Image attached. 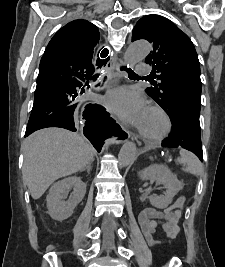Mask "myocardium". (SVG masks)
I'll return each mask as SVG.
<instances>
[{
  "mask_svg": "<svg viewBox=\"0 0 225 267\" xmlns=\"http://www.w3.org/2000/svg\"><path fill=\"white\" fill-rule=\"evenodd\" d=\"M148 109L156 111L157 113H159L163 120H164V128L163 130L156 135H147L146 133H144L140 128L138 129L139 134L142 136L143 139L150 141V142H158V141H162L163 139H165L172 131V120L169 116V114L166 112V110H164L162 107L158 106V105H150L148 107Z\"/></svg>",
  "mask_w": 225,
  "mask_h": 267,
  "instance_id": "f54148a6",
  "label": "myocardium"
}]
</instances>
